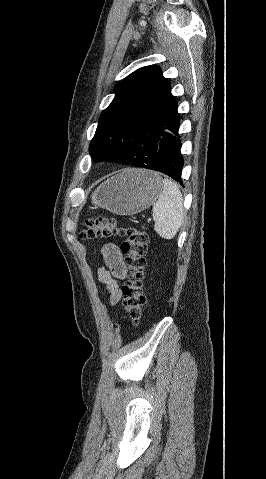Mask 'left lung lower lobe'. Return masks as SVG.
Masks as SVG:
<instances>
[{
	"instance_id": "1",
	"label": "left lung lower lobe",
	"mask_w": 266,
	"mask_h": 479,
	"mask_svg": "<svg viewBox=\"0 0 266 479\" xmlns=\"http://www.w3.org/2000/svg\"><path fill=\"white\" fill-rule=\"evenodd\" d=\"M179 116L177 112V101L171 107L157 143L155 158L146 161L139 167L162 172L174 180L180 182L184 160L181 155V139L178 134Z\"/></svg>"
}]
</instances>
